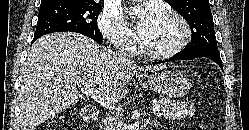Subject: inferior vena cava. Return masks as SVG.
Instances as JSON below:
<instances>
[{"label":"inferior vena cava","mask_w":249,"mask_h":130,"mask_svg":"<svg viewBox=\"0 0 249 130\" xmlns=\"http://www.w3.org/2000/svg\"><path fill=\"white\" fill-rule=\"evenodd\" d=\"M117 50L115 52V56L117 57V60L121 63H129L130 62V56L121 48L116 47ZM103 130H118L119 129V123L116 122V119L112 116H108L103 119Z\"/></svg>","instance_id":"1"}]
</instances>
